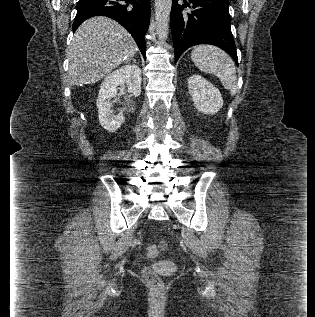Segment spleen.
Returning <instances> with one entry per match:
<instances>
[{"mask_svg": "<svg viewBox=\"0 0 315 317\" xmlns=\"http://www.w3.org/2000/svg\"><path fill=\"white\" fill-rule=\"evenodd\" d=\"M191 60L201 71L216 75L231 95L236 94V69L227 53L213 45H198L191 52Z\"/></svg>", "mask_w": 315, "mask_h": 317, "instance_id": "3e777b00", "label": "spleen"}]
</instances>
